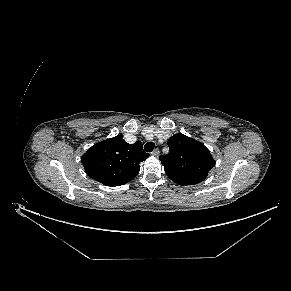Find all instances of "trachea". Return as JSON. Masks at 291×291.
Listing matches in <instances>:
<instances>
[{"instance_id":"1","label":"trachea","mask_w":291,"mask_h":291,"mask_svg":"<svg viewBox=\"0 0 291 291\" xmlns=\"http://www.w3.org/2000/svg\"><path fill=\"white\" fill-rule=\"evenodd\" d=\"M154 146L155 144L153 142H147L145 145H144V150L146 152H152L153 149H154Z\"/></svg>"}]
</instances>
